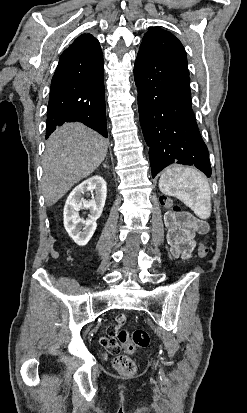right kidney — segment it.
Wrapping results in <instances>:
<instances>
[{"mask_svg":"<svg viewBox=\"0 0 247 413\" xmlns=\"http://www.w3.org/2000/svg\"><path fill=\"white\" fill-rule=\"evenodd\" d=\"M87 190H95L90 200H84L82 194ZM107 196V186L100 174L86 178L81 184L75 186L70 192L64 207V227L76 245L84 247L94 235L97 227V219L101 217ZM89 209L88 219H81L78 211ZM81 223V225H80Z\"/></svg>","mask_w":247,"mask_h":413,"instance_id":"1","label":"right kidney"}]
</instances>
